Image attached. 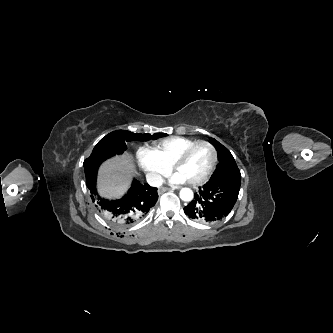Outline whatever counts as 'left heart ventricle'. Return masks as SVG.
<instances>
[{"mask_svg":"<svg viewBox=\"0 0 333 333\" xmlns=\"http://www.w3.org/2000/svg\"><path fill=\"white\" fill-rule=\"evenodd\" d=\"M212 160V150L201 145L193 149L187 160L176 169V172L184 176L187 182H191L199 179L208 171Z\"/></svg>","mask_w":333,"mask_h":333,"instance_id":"1","label":"left heart ventricle"}]
</instances>
